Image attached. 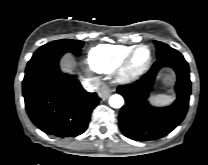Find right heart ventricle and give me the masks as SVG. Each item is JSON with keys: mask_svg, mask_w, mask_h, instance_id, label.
Returning a JSON list of instances; mask_svg holds the SVG:
<instances>
[{"mask_svg": "<svg viewBox=\"0 0 208 165\" xmlns=\"http://www.w3.org/2000/svg\"><path fill=\"white\" fill-rule=\"evenodd\" d=\"M134 49L132 46L100 44L88 53V64L92 70L109 74L113 72Z\"/></svg>", "mask_w": 208, "mask_h": 165, "instance_id": "obj_1", "label": "right heart ventricle"}]
</instances>
